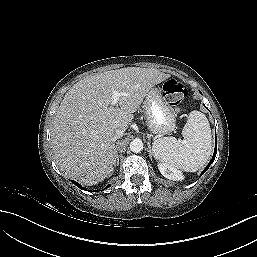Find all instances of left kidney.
Wrapping results in <instances>:
<instances>
[{
	"label": "left kidney",
	"instance_id": "5707ae66",
	"mask_svg": "<svg viewBox=\"0 0 257 257\" xmlns=\"http://www.w3.org/2000/svg\"><path fill=\"white\" fill-rule=\"evenodd\" d=\"M158 169L161 172V174L167 179L174 180V181H179L183 179L182 173L176 168L168 164L159 163Z\"/></svg>",
	"mask_w": 257,
	"mask_h": 257
}]
</instances>
